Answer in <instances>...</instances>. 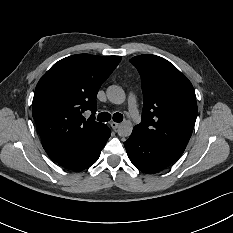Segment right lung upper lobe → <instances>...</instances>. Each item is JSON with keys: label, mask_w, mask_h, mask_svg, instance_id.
I'll return each instance as SVG.
<instances>
[{"label": "right lung upper lobe", "mask_w": 233, "mask_h": 233, "mask_svg": "<svg viewBox=\"0 0 233 233\" xmlns=\"http://www.w3.org/2000/svg\"><path fill=\"white\" fill-rule=\"evenodd\" d=\"M120 56L78 54L55 63L39 80L32 113L42 145L60 162L98 142L107 130L93 118L102 83L120 62ZM92 113L84 119V111Z\"/></svg>", "instance_id": "right-lung-upper-lobe-1"}]
</instances>
